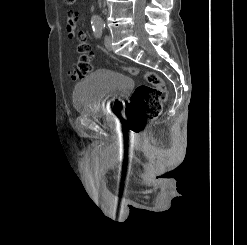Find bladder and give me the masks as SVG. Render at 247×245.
I'll use <instances>...</instances> for the list:
<instances>
[{"label": "bladder", "instance_id": "31cf9c89", "mask_svg": "<svg viewBox=\"0 0 247 245\" xmlns=\"http://www.w3.org/2000/svg\"><path fill=\"white\" fill-rule=\"evenodd\" d=\"M133 86V80L124 74L104 69L94 71L75 85L74 109L81 116L114 113Z\"/></svg>", "mask_w": 247, "mask_h": 245}]
</instances>
